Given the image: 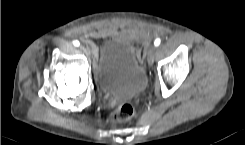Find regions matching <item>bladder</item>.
I'll return each mask as SVG.
<instances>
[{"label":"bladder","mask_w":245,"mask_h":145,"mask_svg":"<svg viewBox=\"0 0 245 145\" xmlns=\"http://www.w3.org/2000/svg\"><path fill=\"white\" fill-rule=\"evenodd\" d=\"M95 72L104 94L132 98L145 88V73L134 41L129 37H105Z\"/></svg>","instance_id":"31cf9c89"}]
</instances>
